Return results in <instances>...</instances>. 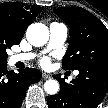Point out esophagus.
Wrapping results in <instances>:
<instances>
[{"mask_svg": "<svg viewBox=\"0 0 108 108\" xmlns=\"http://www.w3.org/2000/svg\"><path fill=\"white\" fill-rule=\"evenodd\" d=\"M42 78H43V79H49V78H51V74L43 73V74H42Z\"/></svg>", "mask_w": 108, "mask_h": 108, "instance_id": "1", "label": "esophagus"}]
</instances>
